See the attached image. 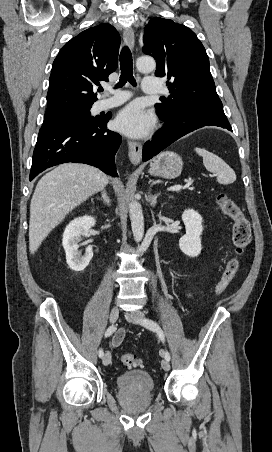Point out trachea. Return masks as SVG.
<instances>
[{
    "label": "trachea",
    "instance_id": "3493384b",
    "mask_svg": "<svg viewBox=\"0 0 272 452\" xmlns=\"http://www.w3.org/2000/svg\"><path fill=\"white\" fill-rule=\"evenodd\" d=\"M120 69L121 75L119 82L116 84V88L122 87L127 81L132 85H136V82L133 77V63H132V54L130 49L127 46H124L121 50L120 54ZM100 92L103 91V88L99 89Z\"/></svg>",
    "mask_w": 272,
    "mask_h": 452
}]
</instances>
